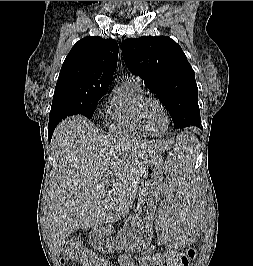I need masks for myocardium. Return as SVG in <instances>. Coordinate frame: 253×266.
Instances as JSON below:
<instances>
[{"label": "myocardium", "mask_w": 253, "mask_h": 266, "mask_svg": "<svg viewBox=\"0 0 253 266\" xmlns=\"http://www.w3.org/2000/svg\"><path fill=\"white\" fill-rule=\"evenodd\" d=\"M149 101H153V102L157 103L162 108V110H163V112L165 114L167 125H166L165 130L162 133H160V134L153 133V132L149 131L144 126V124L142 123V117H141L142 108H143L144 104L149 102ZM134 120H135V123L138 126V128L146 136H151V137H163V136H165L168 133V131L170 129V126H171V120H170L169 112H168L166 106L164 105V103L160 99H158L155 96H142L136 102L135 107H134Z\"/></svg>", "instance_id": "1"}]
</instances>
